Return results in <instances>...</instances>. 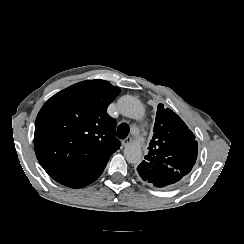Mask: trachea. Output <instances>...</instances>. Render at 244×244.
<instances>
[{"label":"trachea","instance_id":"1","mask_svg":"<svg viewBox=\"0 0 244 244\" xmlns=\"http://www.w3.org/2000/svg\"><path fill=\"white\" fill-rule=\"evenodd\" d=\"M130 128L126 123H122L118 126L117 135L120 139H125L129 134Z\"/></svg>","mask_w":244,"mask_h":244}]
</instances>
